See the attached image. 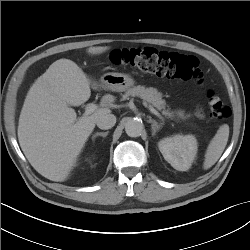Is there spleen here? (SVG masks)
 <instances>
[{
  "mask_svg": "<svg viewBox=\"0 0 250 250\" xmlns=\"http://www.w3.org/2000/svg\"><path fill=\"white\" fill-rule=\"evenodd\" d=\"M229 138V126L224 124L219 127L217 133L210 141L203 163L204 169L212 167L221 157Z\"/></svg>",
  "mask_w": 250,
  "mask_h": 250,
  "instance_id": "obj_1",
  "label": "spleen"
}]
</instances>
